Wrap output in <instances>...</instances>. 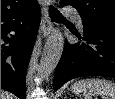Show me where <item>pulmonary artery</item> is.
Here are the masks:
<instances>
[{
  "instance_id": "1",
  "label": "pulmonary artery",
  "mask_w": 115,
  "mask_h": 99,
  "mask_svg": "<svg viewBox=\"0 0 115 99\" xmlns=\"http://www.w3.org/2000/svg\"><path fill=\"white\" fill-rule=\"evenodd\" d=\"M64 12H66V13L69 14V15H71L72 18H73V20H74L77 24L81 25L82 21H81V18H80L79 14H78L77 12H75V11H73V10H71V9H65Z\"/></svg>"
}]
</instances>
